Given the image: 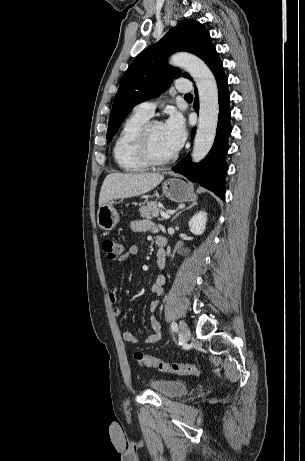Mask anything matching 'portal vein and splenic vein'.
I'll return each instance as SVG.
<instances>
[{
	"mask_svg": "<svg viewBox=\"0 0 305 461\" xmlns=\"http://www.w3.org/2000/svg\"><path fill=\"white\" fill-rule=\"evenodd\" d=\"M160 216L164 219H169L170 218V215L168 213H165V212H161L160 213Z\"/></svg>",
	"mask_w": 305,
	"mask_h": 461,
	"instance_id": "1",
	"label": "portal vein and splenic vein"
}]
</instances>
